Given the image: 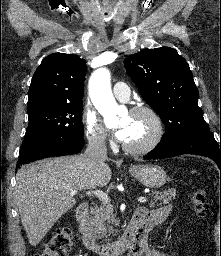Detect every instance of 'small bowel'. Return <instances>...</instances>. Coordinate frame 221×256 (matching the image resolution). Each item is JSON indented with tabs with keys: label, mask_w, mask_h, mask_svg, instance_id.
<instances>
[{
	"label": "small bowel",
	"mask_w": 221,
	"mask_h": 256,
	"mask_svg": "<svg viewBox=\"0 0 221 256\" xmlns=\"http://www.w3.org/2000/svg\"><path fill=\"white\" fill-rule=\"evenodd\" d=\"M145 212L146 218L144 221V232L138 241L130 248V256H171L168 253L151 250L147 246V234L156 225L162 223L170 213V206L162 207L157 210L148 211L141 209Z\"/></svg>",
	"instance_id": "1"
}]
</instances>
